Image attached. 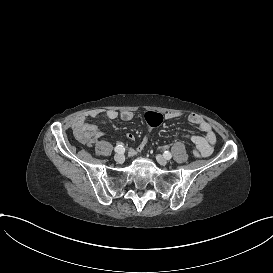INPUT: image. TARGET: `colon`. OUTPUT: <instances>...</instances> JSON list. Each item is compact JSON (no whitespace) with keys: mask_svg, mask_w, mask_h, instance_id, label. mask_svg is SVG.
Wrapping results in <instances>:
<instances>
[{"mask_svg":"<svg viewBox=\"0 0 273 273\" xmlns=\"http://www.w3.org/2000/svg\"><path fill=\"white\" fill-rule=\"evenodd\" d=\"M145 121L149 126H156L164 121V117L160 113L145 115ZM97 122V117L93 113H81L72 120L73 138L80 140L83 144H88L92 141V135L101 133V125ZM151 129H149L150 131ZM148 131V132H149ZM148 143V137L142 136L139 139L137 150L144 152L145 145Z\"/></svg>","mask_w":273,"mask_h":273,"instance_id":"obj_1","label":"colon"}]
</instances>
